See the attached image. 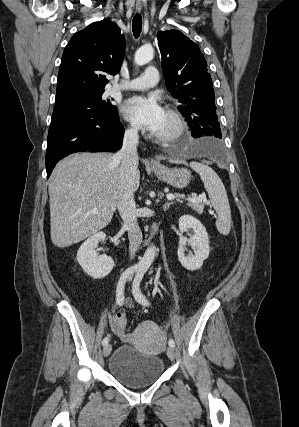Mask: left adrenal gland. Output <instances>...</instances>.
I'll use <instances>...</instances> for the list:
<instances>
[{
  "label": "left adrenal gland",
  "instance_id": "a2214340",
  "mask_svg": "<svg viewBox=\"0 0 299 427\" xmlns=\"http://www.w3.org/2000/svg\"><path fill=\"white\" fill-rule=\"evenodd\" d=\"M172 204H173L172 202L171 203H169V202L165 203V205L163 206V209L168 210Z\"/></svg>",
  "mask_w": 299,
  "mask_h": 427
}]
</instances>
